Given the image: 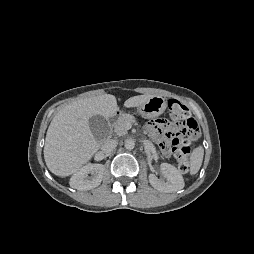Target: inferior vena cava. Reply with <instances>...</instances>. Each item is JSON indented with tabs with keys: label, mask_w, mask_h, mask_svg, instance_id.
<instances>
[{
	"label": "inferior vena cava",
	"mask_w": 254,
	"mask_h": 254,
	"mask_svg": "<svg viewBox=\"0 0 254 254\" xmlns=\"http://www.w3.org/2000/svg\"><path fill=\"white\" fill-rule=\"evenodd\" d=\"M117 144H118V142L115 139L106 141L101 147L102 152H104V153L112 152L116 148Z\"/></svg>",
	"instance_id": "602c4592"
}]
</instances>
